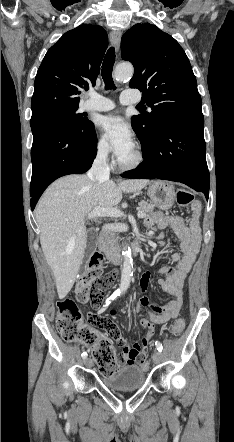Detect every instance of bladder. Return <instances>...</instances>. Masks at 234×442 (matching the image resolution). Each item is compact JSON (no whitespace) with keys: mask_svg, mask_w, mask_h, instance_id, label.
Here are the masks:
<instances>
[{"mask_svg":"<svg viewBox=\"0 0 234 442\" xmlns=\"http://www.w3.org/2000/svg\"><path fill=\"white\" fill-rule=\"evenodd\" d=\"M146 370L138 365L131 364L121 367L112 377L102 378L103 384L111 390H131L144 385Z\"/></svg>","mask_w":234,"mask_h":442,"instance_id":"bladder-1","label":"bladder"}]
</instances>
